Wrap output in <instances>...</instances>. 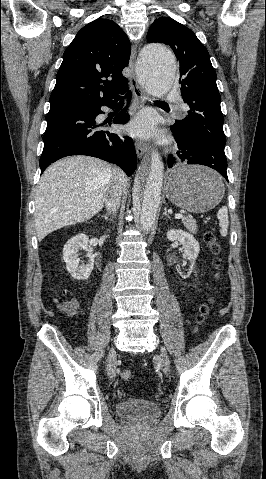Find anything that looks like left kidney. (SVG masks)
Returning a JSON list of instances; mask_svg holds the SVG:
<instances>
[{"instance_id": "left-kidney-1", "label": "left kidney", "mask_w": 266, "mask_h": 479, "mask_svg": "<svg viewBox=\"0 0 266 479\" xmlns=\"http://www.w3.org/2000/svg\"><path fill=\"white\" fill-rule=\"evenodd\" d=\"M167 238L170 241H176V240L179 241L180 244L183 246V256L189 259L191 262L190 268L188 269L187 272H182L181 270H177L180 276L183 279H186L190 276L192 272V268L194 266V262L199 255V252H200L199 243L194 238L193 235L183 230L171 229L167 232Z\"/></svg>"}]
</instances>
